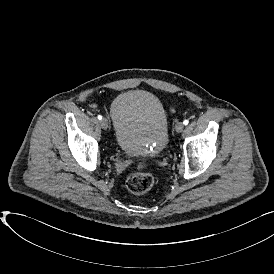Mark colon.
Listing matches in <instances>:
<instances>
[{"label":"colon","mask_w":274,"mask_h":274,"mask_svg":"<svg viewBox=\"0 0 274 274\" xmlns=\"http://www.w3.org/2000/svg\"><path fill=\"white\" fill-rule=\"evenodd\" d=\"M169 110L173 113L175 108L170 107ZM150 166L151 163L145 161H139L136 163V169L126 178V186L130 192L134 194H144L152 189L155 180L153 175L147 171V168Z\"/></svg>","instance_id":"1"}]
</instances>
